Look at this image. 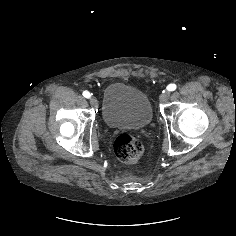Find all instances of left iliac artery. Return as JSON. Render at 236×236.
I'll use <instances>...</instances> for the list:
<instances>
[{"instance_id": "1", "label": "left iliac artery", "mask_w": 236, "mask_h": 236, "mask_svg": "<svg viewBox=\"0 0 236 236\" xmlns=\"http://www.w3.org/2000/svg\"><path fill=\"white\" fill-rule=\"evenodd\" d=\"M177 88V86L175 84H169L167 86V90L168 91H174Z\"/></svg>"}]
</instances>
